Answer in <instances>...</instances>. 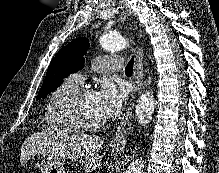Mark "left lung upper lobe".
Masks as SVG:
<instances>
[{"mask_svg":"<svg viewBox=\"0 0 219 173\" xmlns=\"http://www.w3.org/2000/svg\"><path fill=\"white\" fill-rule=\"evenodd\" d=\"M88 47L89 40L80 37L60 49L48 67L45 80L36 97L37 100L46 97V95L59 87L65 76L83 68V56Z\"/></svg>","mask_w":219,"mask_h":173,"instance_id":"obj_1","label":"left lung upper lobe"}]
</instances>
